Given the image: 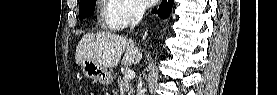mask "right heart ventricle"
I'll return each mask as SVG.
<instances>
[{"label":"right heart ventricle","mask_w":277,"mask_h":95,"mask_svg":"<svg viewBox=\"0 0 277 95\" xmlns=\"http://www.w3.org/2000/svg\"><path fill=\"white\" fill-rule=\"evenodd\" d=\"M117 6L118 4H116L112 0L101 1L99 24L103 29L108 30L112 28V19H113L112 10Z\"/></svg>","instance_id":"1"}]
</instances>
